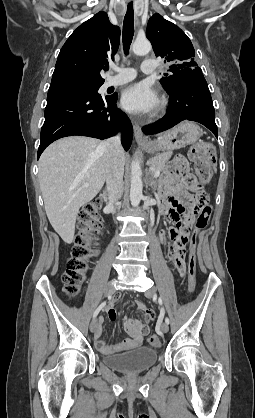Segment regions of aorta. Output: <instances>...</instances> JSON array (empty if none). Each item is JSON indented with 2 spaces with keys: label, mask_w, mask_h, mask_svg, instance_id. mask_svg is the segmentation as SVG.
I'll return each mask as SVG.
<instances>
[{
  "label": "aorta",
  "mask_w": 255,
  "mask_h": 418,
  "mask_svg": "<svg viewBox=\"0 0 255 418\" xmlns=\"http://www.w3.org/2000/svg\"><path fill=\"white\" fill-rule=\"evenodd\" d=\"M132 50L137 55L147 54L151 50V44L148 40H136L133 43ZM142 179L141 167L137 159L131 163V183H130V201L132 206L139 205L142 198Z\"/></svg>",
  "instance_id": "obj_1"
}]
</instances>
